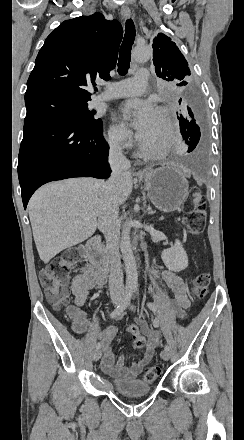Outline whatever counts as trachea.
I'll return each instance as SVG.
<instances>
[{"instance_id": "3493384b", "label": "trachea", "mask_w": 244, "mask_h": 440, "mask_svg": "<svg viewBox=\"0 0 244 440\" xmlns=\"http://www.w3.org/2000/svg\"><path fill=\"white\" fill-rule=\"evenodd\" d=\"M136 30L131 19L126 21L125 35L120 48L118 59V73L125 75L128 71L131 60V49L135 40Z\"/></svg>"}]
</instances>
